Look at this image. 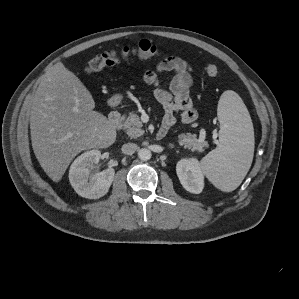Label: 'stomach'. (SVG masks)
Segmentation results:
<instances>
[{"label":"stomach","instance_id":"stomach-1","mask_svg":"<svg viewBox=\"0 0 299 299\" xmlns=\"http://www.w3.org/2000/svg\"><path fill=\"white\" fill-rule=\"evenodd\" d=\"M120 100H121V97H120V96H115V97L113 98V100H112V103H113L114 105H117V104H119Z\"/></svg>","mask_w":299,"mask_h":299}]
</instances>
